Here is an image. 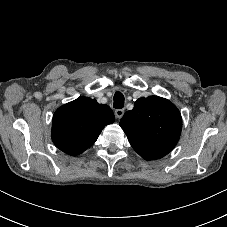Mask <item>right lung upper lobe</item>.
I'll use <instances>...</instances> for the list:
<instances>
[{"label":"right lung upper lobe","mask_w":227,"mask_h":227,"mask_svg":"<svg viewBox=\"0 0 227 227\" xmlns=\"http://www.w3.org/2000/svg\"><path fill=\"white\" fill-rule=\"evenodd\" d=\"M114 120L109 106L79 97L54 113L52 140L61 151L76 156L92 146L103 128Z\"/></svg>","instance_id":"1"}]
</instances>
